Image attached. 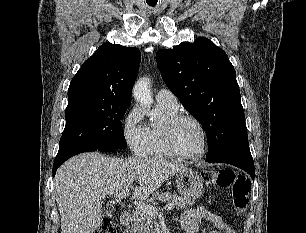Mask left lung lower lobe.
<instances>
[{"mask_svg": "<svg viewBox=\"0 0 306 233\" xmlns=\"http://www.w3.org/2000/svg\"><path fill=\"white\" fill-rule=\"evenodd\" d=\"M208 162L227 163L246 171L254 180L255 170L250 148H239L206 158Z\"/></svg>", "mask_w": 306, "mask_h": 233, "instance_id": "left-lung-lower-lobe-1", "label": "left lung lower lobe"}]
</instances>
